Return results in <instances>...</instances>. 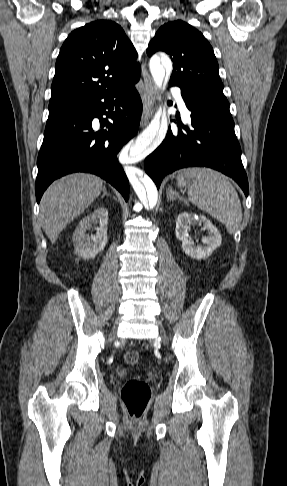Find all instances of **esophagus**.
I'll list each match as a JSON object with an SVG mask.
<instances>
[{"label":"esophagus","mask_w":287,"mask_h":486,"mask_svg":"<svg viewBox=\"0 0 287 486\" xmlns=\"http://www.w3.org/2000/svg\"><path fill=\"white\" fill-rule=\"evenodd\" d=\"M142 76L144 80V85H143V94H142L143 111H142L141 122H140L141 127L146 126L147 123L149 122V119L151 118L153 113L154 104L156 100V88L154 85V81L149 75V73L146 71L144 66L142 69Z\"/></svg>","instance_id":"esophagus-1"}]
</instances>
